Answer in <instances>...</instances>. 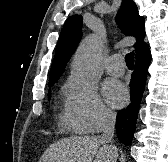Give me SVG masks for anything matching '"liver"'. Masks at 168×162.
Returning <instances> with one entry per match:
<instances>
[{
    "mask_svg": "<svg viewBox=\"0 0 168 162\" xmlns=\"http://www.w3.org/2000/svg\"><path fill=\"white\" fill-rule=\"evenodd\" d=\"M117 156L100 137L80 136L53 143L39 162H116Z\"/></svg>",
    "mask_w": 168,
    "mask_h": 162,
    "instance_id": "1",
    "label": "liver"
}]
</instances>
